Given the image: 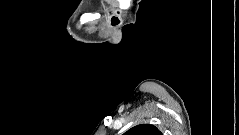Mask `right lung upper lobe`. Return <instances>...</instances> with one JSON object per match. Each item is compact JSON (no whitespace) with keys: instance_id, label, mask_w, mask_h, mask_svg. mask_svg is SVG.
Here are the masks:
<instances>
[{"instance_id":"obj_1","label":"right lung upper lobe","mask_w":239,"mask_h":135,"mask_svg":"<svg viewBox=\"0 0 239 135\" xmlns=\"http://www.w3.org/2000/svg\"><path fill=\"white\" fill-rule=\"evenodd\" d=\"M124 135H162V133L153 125L140 124L129 129Z\"/></svg>"}]
</instances>
